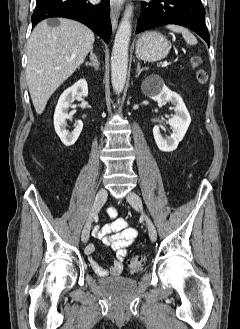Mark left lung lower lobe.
<instances>
[{
    "label": "left lung lower lobe",
    "mask_w": 240,
    "mask_h": 329,
    "mask_svg": "<svg viewBox=\"0 0 240 329\" xmlns=\"http://www.w3.org/2000/svg\"><path fill=\"white\" fill-rule=\"evenodd\" d=\"M141 6L136 33L165 24H176L193 30L210 45L201 0H153L141 2Z\"/></svg>",
    "instance_id": "0a47b994"
}]
</instances>
